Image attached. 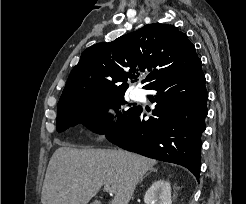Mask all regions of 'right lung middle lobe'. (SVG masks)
Here are the masks:
<instances>
[{"label":"right lung middle lobe","mask_w":246,"mask_h":204,"mask_svg":"<svg viewBox=\"0 0 246 204\" xmlns=\"http://www.w3.org/2000/svg\"><path fill=\"white\" fill-rule=\"evenodd\" d=\"M124 93L108 95H87L69 98L58 102L56 129L64 131L71 126L83 124L88 129L106 134L117 126L136 109L131 107L127 111H118L122 105ZM109 108L115 109L119 115L116 124H113V116L108 113Z\"/></svg>","instance_id":"obj_1"}]
</instances>
